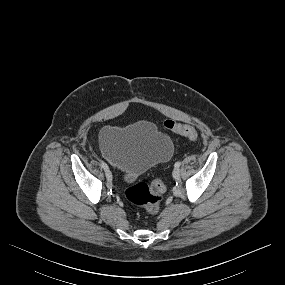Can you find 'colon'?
<instances>
[{"label": "colon", "mask_w": 285, "mask_h": 285, "mask_svg": "<svg viewBox=\"0 0 285 285\" xmlns=\"http://www.w3.org/2000/svg\"><path fill=\"white\" fill-rule=\"evenodd\" d=\"M164 127L189 140H196L198 138L197 130L190 125L167 120L164 122ZM164 190L165 185L163 181L161 179H154L150 183L140 182L128 187L126 197L131 203L145 208L150 213H155L161 203Z\"/></svg>", "instance_id": "colon-1"}]
</instances>
